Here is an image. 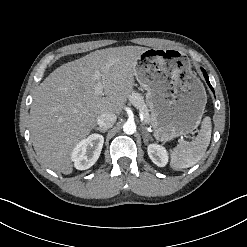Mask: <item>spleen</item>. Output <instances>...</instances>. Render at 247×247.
Returning a JSON list of instances; mask_svg holds the SVG:
<instances>
[{
    "label": "spleen",
    "instance_id": "1",
    "mask_svg": "<svg viewBox=\"0 0 247 247\" xmlns=\"http://www.w3.org/2000/svg\"><path fill=\"white\" fill-rule=\"evenodd\" d=\"M211 131V119L205 117L200 132L192 141H183L171 150L170 166L175 170H181L195 165L209 146Z\"/></svg>",
    "mask_w": 247,
    "mask_h": 247
}]
</instances>
